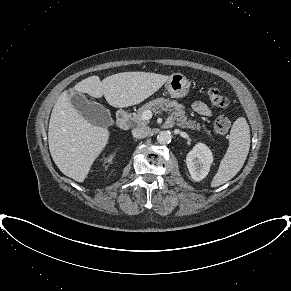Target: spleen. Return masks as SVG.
Listing matches in <instances>:
<instances>
[{"label": "spleen", "mask_w": 291, "mask_h": 291, "mask_svg": "<svg viewBox=\"0 0 291 291\" xmlns=\"http://www.w3.org/2000/svg\"><path fill=\"white\" fill-rule=\"evenodd\" d=\"M250 148V130L245 118L234 123L229 135V147L220 162L211 187H218L232 179L242 168Z\"/></svg>", "instance_id": "1"}]
</instances>
